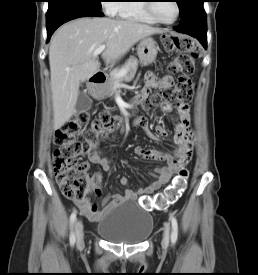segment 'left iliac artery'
Instances as JSON below:
<instances>
[{"instance_id":"1","label":"left iliac artery","mask_w":258,"mask_h":275,"mask_svg":"<svg viewBox=\"0 0 258 275\" xmlns=\"http://www.w3.org/2000/svg\"><path fill=\"white\" fill-rule=\"evenodd\" d=\"M170 219L172 224L171 242L172 244H175L178 238V223L173 215H170Z\"/></svg>"}]
</instances>
